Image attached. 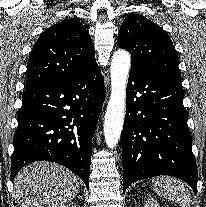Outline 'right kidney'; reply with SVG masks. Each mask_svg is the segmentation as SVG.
Listing matches in <instances>:
<instances>
[{
	"instance_id": "ca27d5eb",
	"label": "right kidney",
	"mask_w": 206,
	"mask_h": 207,
	"mask_svg": "<svg viewBox=\"0 0 206 207\" xmlns=\"http://www.w3.org/2000/svg\"><path fill=\"white\" fill-rule=\"evenodd\" d=\"M65 207H76V205L74 203H71V204H69V205H67Z\"/></svg>"
}]
</instances>
